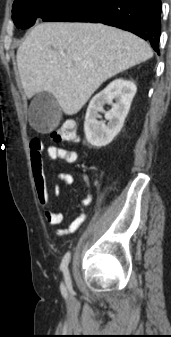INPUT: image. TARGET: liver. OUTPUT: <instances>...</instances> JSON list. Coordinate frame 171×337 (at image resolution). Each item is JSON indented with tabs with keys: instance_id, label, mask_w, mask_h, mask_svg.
Here are the masks:
<instances>
[{
	"instance_id": "1",
	"label": "liver",
	"mask_w": 171,
	"mask_h": 337,
	"mask_svg": "<svg viewBox=\"0 0 171 337\" xmlns=\"http://www.w3.org/2000/svg\"><path fill=\"white\" fill-rule=\"evenodd\" d=\"M152 56L146 41L115 27L49 22L36 25L19 46L17 67L28 98L50 93L73 115L108 78Z\"/></svg>"
}]
</instances>
